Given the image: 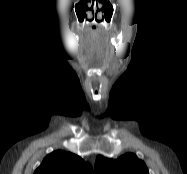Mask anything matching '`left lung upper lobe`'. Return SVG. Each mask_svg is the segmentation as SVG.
Returning a JSON list of instances; mask_svg holds the SVG:
<instances>
[{
	"instance_id": "obj_1",
	"label": "left lung upper lobe",
	"mask_w": 187,
	"mask_h": 174,
	"mask_svg": "<svg viewBox=\"0 0 187 174\" xmlns=\"http://www.w3.org/2000/svg\"><path fill=\"white\" fill-rule=\"evenodd\" d=\"M95 174H149L143 161L135 154L127 153L116 160L98 156Z\"/></svg>"
}]
</instances>
